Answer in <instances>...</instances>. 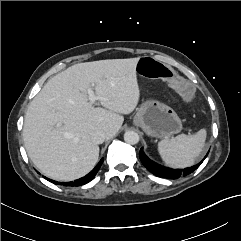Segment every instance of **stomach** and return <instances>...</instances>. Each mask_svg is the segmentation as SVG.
Wrapping results in <instances>:
<instances>
[{"label": "stomach", "instance_id": "0dacf381", "mask_svg": "<svg viewBox=\"0 0 241 241\" xmlns=\"http://www.w3.org/2000/svg\"><path fill=\"white\" fill-rule=\"evenodd\" d=\"M133 124L154 138H168L182 130V121L177 113L157 100L142 103Z\"/></svg>", "mask_w": 241, "mask_h": 241}]
</instances>
